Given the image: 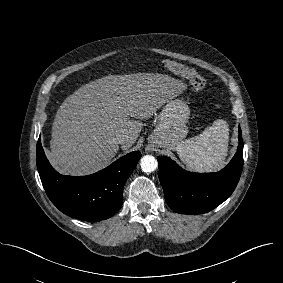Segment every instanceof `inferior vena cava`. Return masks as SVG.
Instances as JSON below:
<instances>
[{"instance_id":"obj_1","label":"inferior vena cava","mask_w":283,"mask_h":283,"mask_svg":"<svg viewBox=\"0 0 283 283\" xmlns=\"http://www.w3.org/2000/svg\"><path fill=\"white\" fill-rule=\"evenodd\" d=\"M115 142L117 144H124L126 142V137L124 135H121L119 137L115 138Z\"/></svg>"}]
</instances>
